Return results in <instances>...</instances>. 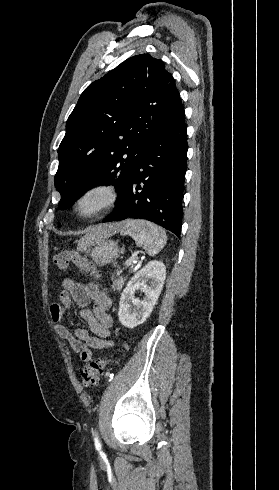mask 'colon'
<instances>
[{"label":"colon","mask_w":279,"mask_h":490,"mask_svg":"<svg viewBox=\"0 0 279 490\" xmlns=\"http://www.w3.org/2000/svg\"><path fill=\"white\" fill-rule=\"evenodd\" d=\"M53 260L54 265L60 270L73 266L84 275H99L96 265L87 256L75 249L62 250L54 256ZM116 361L117 359L115 357L91 360L81 371V383L83 387L90 388L96 386L99 378L106 372V368Z\"/></svg>","instance_id":"5ec220e1"}]
</instances>
